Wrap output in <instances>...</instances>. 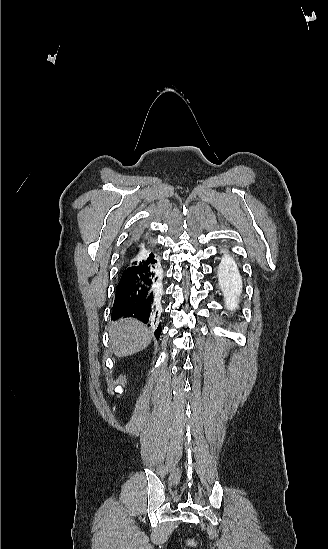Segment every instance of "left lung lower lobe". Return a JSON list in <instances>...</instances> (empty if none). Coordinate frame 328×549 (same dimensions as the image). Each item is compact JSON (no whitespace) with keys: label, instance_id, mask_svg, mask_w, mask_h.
<instances>
[{"label":"left lung lower lobe","instance_id":"1","mask_svg":"<svg viewBox=\"0 0 328 549\" xmlns=\"http://www.w3.org/2000/svg\"><path fill=\"white\" fill-rule=\"evenodd\" d=\"M230 274H231L230 264L226 259L222 263L218 271V276H219L218 286L224 292V294H229L231 291L237 288V285H235V283L232 281Z\"/></svg>","mask_w":328,"mask_h":549}]
</instances>
